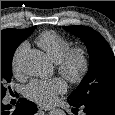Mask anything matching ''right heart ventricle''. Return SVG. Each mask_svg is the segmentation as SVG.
<instances>
[{
    "label": "right heart ventricle",
    "mask_w": 115,
    "mask_h": 115,
    "mask_svg": "<svg viewBox=\"0 0 115 115\" xmlns=\"http://www.w3.org/2000/svg\"><path fill=\"white\" fill-rule=\"evenodd\" d=\"M36 42L55 63H58L70 48V42L65 37L51 30L41 33Z\"/></svg>",
    "instance_id": "e07e8e85"
}]
</instances>
